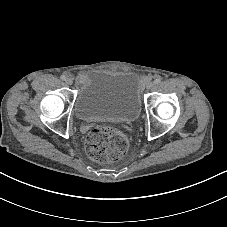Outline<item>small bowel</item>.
Wrapping results in <instances>:
<instances>
[{
  "label": "small bowel",
  "mask_w": 227,
  "mask_h": 227,
  "mask_svg": "<svg viewBox=\"0 0 227 227\" xmlns=\"http://www.w3.org/2000/svg\"><path fill=\"white\" fill-rule=\"evenodd\" d=\"M83 77H84V75L82 74V75H81V78H83Z\"/></svg>",
  "instance_id": "small-bowel-1"
}]
</instances>
